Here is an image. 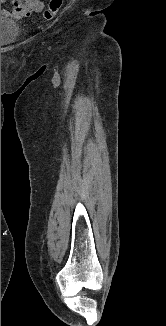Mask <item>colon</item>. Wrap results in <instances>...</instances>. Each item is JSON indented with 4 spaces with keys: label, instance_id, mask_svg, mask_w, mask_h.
Here are the masks:
<instances>
[{
    "label": "colon",
    "instance_id": "obj_1",
    "mask_svg": "<svg viewBox=\"0 0 166 326\" xmlns=\"http://www.w3.org/2000/svg\"><path fill=\"white\" fill-rule=\"evenodd\" d=\"M64 0H50L47 8L43 11L42 16L46 20H52L63 5Z\"/></svg>",
    "mask_w": 166,
    "mask_h": 326
}]
</instances>
